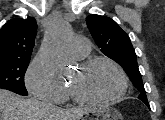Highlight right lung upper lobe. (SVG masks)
I'll list each match as a JSON object with an SVG mask.
<instances>
[{
  "label": "right lung upper lobe",
  "instance_id": "right-lung-upper-lobe-1",
  "mask_svg": "<svg viewBox=\"0 0 165 120\" xmlns=\"http://www.w3.org/2000/svg\"><path fill=\"white\" fill-rule=\"evenodd\" d=\"M36 33L33 17L8 21L0 30V58L30 59Z\"/></svg>",
  "mask_w": 165,
  "mask_h": 120
}]
</instances>
